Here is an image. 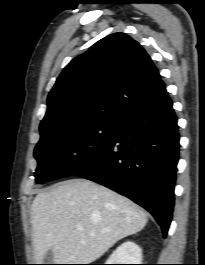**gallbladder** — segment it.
<instances>
[{
    "mask_svg": "<svg viewBox=\"0 0 205 265\" xmlns=\"http://www.w3.org/2000/svg\"><path fill=\"white\" fill-rule=\"evenodd\" d=\"M53 261V253L51 250H48L44 256V262L46 264L50 263Z\"/></svg>",
    "mask_w": 205,
    "mask_h": 265,
    "instance_id": "bac80fb5",
    "label": "gallbladder"
}]
</instances>
